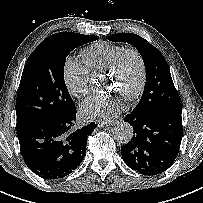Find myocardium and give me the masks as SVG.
<instances>
[{
	"label": "myocardium",
	"instance_id": "f54148a6",
	"mask_svg": "<svg viewBox=\"0 0 203 203\" xmlns=\"http://www.w3.org/2000/svg\"><path fill=\"white\" fill-rule=\"evenodd\" d=\"M130 55L134 56L139 63L140 76H139L138 84H137L136 88L134 89V91L125 98V100L128 102H132V101L136 100L142 94L145 84H146L147 67H146V63H145L143 55L136 48H125L117 55V57L114 59V61L110 65V67L106 70V73L109 76L113 75L121 67L124 60Z\"/></svg>",
	"mask_w": 203,
	"mask_h": 203
}]
</instances>
